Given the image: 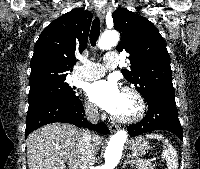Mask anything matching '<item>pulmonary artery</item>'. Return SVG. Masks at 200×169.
Segmentation results:
<instances>
[{
  "mask_svg": "<svg viewBox=\"0 0 200 169\" xmlns=\"http://www.w3.org/2000/svg\"><path fill=\"white\" fill-rule=\"evenodd\" d=\"M117 64L118 57L116 53L110 52L104 57L103 63L90 61L84 63V66L78 69L73 75V80L82 82L100 78L107 70L115 68Z\"/></svg>",
  "mask_w": 200,
  "mask_h": 169,
  "instance_id": "e3ab8cb5",
  "label": "pulmonary artery"
}]
</instances>
